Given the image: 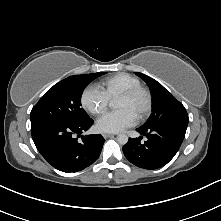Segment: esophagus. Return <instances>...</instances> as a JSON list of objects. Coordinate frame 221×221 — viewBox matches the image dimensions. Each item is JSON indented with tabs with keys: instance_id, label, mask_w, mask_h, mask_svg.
<instances>
[{
	"instance_id": "1",
	"label": "esophagus",
	"mask_w": 221,
	"mask_h": 221,
	"mask_svg": "<svg viewBox=\"0 0 221 221\" xmlns=\"http://www.w3.org/2000/svg\"><path fill=\"white\" fill-rule=\"evenodd\" d=\"M102 135H103V137L106 139V138L112 137L114 134H111V133H103Z\"/></svg>"
}]
</instances>
